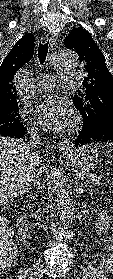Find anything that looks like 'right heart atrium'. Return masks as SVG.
I'll use <instances>...</instances> for the list:
<instances>
[{
	"label": "right heart atrium",
	"mask_w": 113,
	"mask_h": 279,
	"mask_svg": "<svg viewBox=\"0 0 113 279\" xmlns=\"http://www.w3.org/2000/svg\"><path fill=\"white\" fill-rule=\"evenodd\" d=\"M29 130L31 133H37L38 132V127L34 122H29Z\"/></svg>",
	"instance_id": "obj_1"
}]
</instances>
